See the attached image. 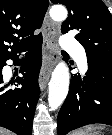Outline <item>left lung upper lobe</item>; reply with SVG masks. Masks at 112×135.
<instances>
[{
    "label": "left lung upper lobe",
    "instance_id": "1",
    "mask_svg": "<svg viewBox=\"0 0 112 135\" xmlns=\"http://www.w3.org/2000/svg\"><path fill=\"white\" fill-rule=\"evenodd\" d=\"M69 11L63 34L76 30L75 38L86 50L87 58L112 61V16L101 0H51Z\"/></svg>",
    "mask_w": 112,
    "mask_h": 135
}]
</instances>
